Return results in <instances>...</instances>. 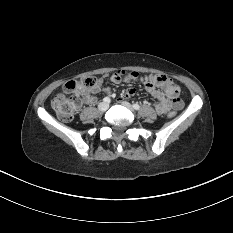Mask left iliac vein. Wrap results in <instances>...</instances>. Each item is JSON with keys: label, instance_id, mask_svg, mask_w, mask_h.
<instances>
[{"label": "left iliac vein", "instance_id": "obj_1", "mask_svg": "<svg viewBox=\"0 0 233 233\" xmlns=\"http://www.w3.org/2000/svg\"><path fill=\"white\" fill-rule=\"evenodd\" d=\"M122 105L125 106L126 108H128L129 110L133 111V107L130 103L123 101Z\"/></svg>", "mask_w": 233, "mask_h": 233}]
</instances>
